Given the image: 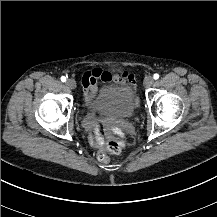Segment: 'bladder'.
<instances>
[{
	"label": "bladder",
	"mask_w": 217,
	"mask_h": 217,
	"mask_svg": "<svg viewBox=\"0 0 217 217\" xmlns=\"http://www.w3.org/2000/svg\"><path fill=\"white\" fill-rule=\"evenodd\" d=\"M138 107V99L131 87L125 84L121 88H112L100 96H94L90 104V110L119 119L133 115Z\"/></svg>",
	"instance_id": "31cf9c89"
}]
</instances>
